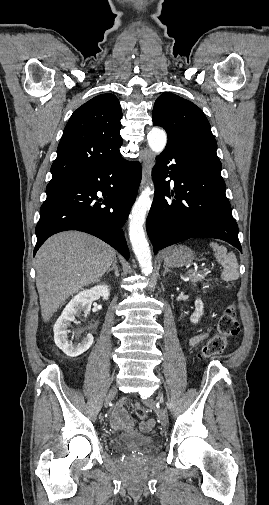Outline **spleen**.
I'll return each instance as SVG.
<instances>
[{
	"label": "spleen",
	"instance_id": "obj_1",
	"mask_svg": "<svg viewBox=\"0 0 269 505\" xmlns=\"http://www.w3.org/2000/svg\"><path fill=\"white\" fill-rule=\"evenodd\" d=\"M216 261L224 268L221 278L224 281H233L239 278L238 262L233 252H227V248L215 242H210Z\"/></svg>",
	"mask_w": 269,
	"mask_h": 505
}]
</instances>
